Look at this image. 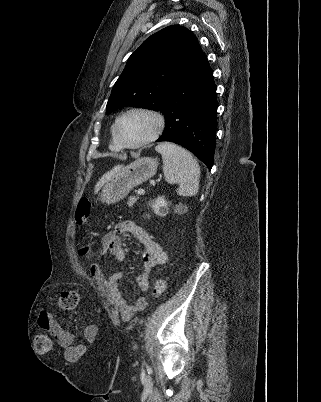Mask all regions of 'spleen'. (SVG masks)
<instances>
[{
	"label": "spleen",
	"instance_id": "1",
	"mask_svg": "<svg viewBox=\"0 0 321 402\" xmlns=\"http://www.w3.org/2000/svg\"><path fill=\"white\" fill-rule=\"evenodd\" d=\"M155 149L162 155L166 182L178 184L177 193L181 196H195L199 190L200 167L192 154L170 142L160 143Z\"/></svg>",
	"mask_w": 321,
	"mask_h": 402
}]
</instances>
